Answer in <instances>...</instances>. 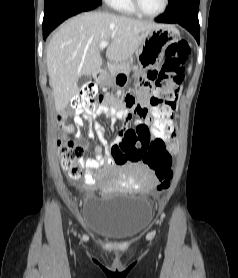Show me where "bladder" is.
<instances>
[{"label": "bladder", "mask_w": 238, "mask_h": 278, "mask_svg": "<svg viewBox=\"0 0 238 278\" xmlns=\"http://www.w3.org/2000/svg\"><path fill=\"white\" fill-rule=\"evenodd\" d=\"M152 218V205L146 197L125 192L87 197L82 209L84 227L113 240L142 233Z\"/></svg>", "instance_id": "1"}]
</instances>
